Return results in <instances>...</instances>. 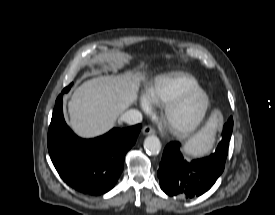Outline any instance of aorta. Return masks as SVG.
Listing matches in <instances>:
<instances>
[{"label":"aorta","instance_id":"762f6f07","mask_svg":"<svg viewBox=\"0 0 275 215\" xmlns=\"http://www.w3.org/2000/svg\"><path fill=\"white\" fill-rule=\"evenodd\" d=\"M144 148L148 154L158 155L161 151V142L155 135L148 136L144 141Z\"/></svg>","mask_w":275,"mask_h":215}]
</instances>
